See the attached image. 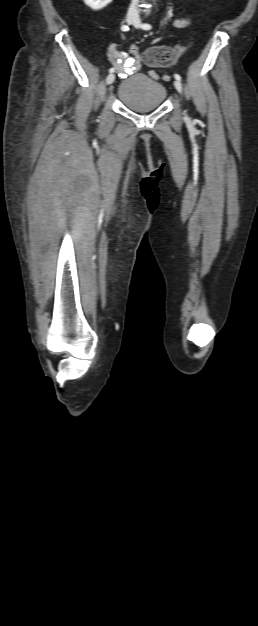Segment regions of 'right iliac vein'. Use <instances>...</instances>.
Returning a JSON list of instances; mask_svg holds the SVG:
<instances>
[{
  "label": "right iliac vein",
  "mask_w": 258,
  "mask_h": 626,
  "mask_svg": "<svg viewBox=\"0 0 258 626\" xmlns=\"http://www.w3.org/2000/svg\"><path fill=\"white\" fill-rule=\"evenodd\" d=\"M135 21H136V19H135L134 17H132V16H128V17H127V19H126V22H127L128 24H130V25H131V24H134V22H135ZM114 80H115V74L111 73V74H109V75L107 76V78H106V83H107L108 85H110V84H112V83L114 82Z\"/></svg>",
  "instance_id": "63e3f726"
}]
</instances>
